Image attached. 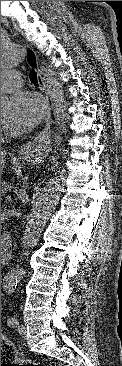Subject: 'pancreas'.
<instances>
[{"mask_svg": "<svg viewBox=\"0 0 122 366\" xmlns=\"http://www.w3.org/2000/svg\"><path fill=\"white\" fill-rule=\"evenodd\" d=\"M8 189H9V184L7 182H2L1 183V195H4Z\"/></svg>", "mask_w": 122, "mask_h": 366, "instance_id": "pancreas-1", "label": "pancreas"}]
</instances>
